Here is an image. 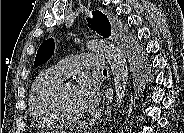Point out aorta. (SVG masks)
I'll list each match as a JSON object with an SVG mask.
<instances>
[{
	"mask_svg": "<svg viewBox=\"0 0 184 133\" xmlns=\"http://www.w3.org/2000/svg\"><path fill=\"white\" fill-rule=\"evenodd\" d=\"M87 47L102 54L110 65L116 91L115 107H121L126 93L128 81V66L122 51L110 42L104 40H91Z\"/></svg>",
	"mask_w": 184,
	"mask_h": 133,
	"instance_id": "762f6f07",
	"label": "aorta"
}]
</instances>
